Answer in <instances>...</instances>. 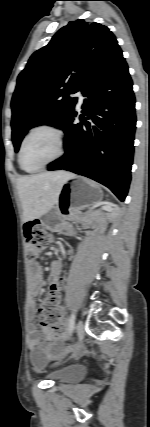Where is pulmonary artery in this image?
Instances as JSON below:
<instances>
[{
    "instance_id": "pulmonary-artery-1",
    "label": "pulmonary artery",
    "mask_w": 150,
    "mask_h": 427,
    "mask_svg": "<svg viewBox=\"0 0 150 427\" xmlns=\"http://www.w3.org/2000/svg\"><path fill=\"white\" fill-rule=\"evenodd\" d=\"M75 96L78 99V104L81 105L84 101V96H83L82 92L81 91L76 92Z\"/></svg>"
}]
</instances>
